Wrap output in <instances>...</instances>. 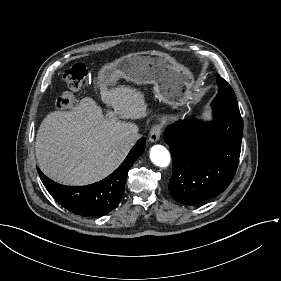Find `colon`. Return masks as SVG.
<instances>
[{
  "label": "colon",
  "mask_w": 281,
  "mask_h": 281,
  "mask_svg": "<svg viewBox=\"0 0 281 281\" xmlns=\"http://www.w3.org/2000/svg\"><path fill=\"white\" fill-rule=\"evenodd\" d=\"M88 68L84 63H75L63 73L64 83L70 88H78L87 78ZM76 105V98L71 91L62 92L57 98V106L60 110H71Z\"/></svg>",
  "instance_id": "1"
}]
</instances>
